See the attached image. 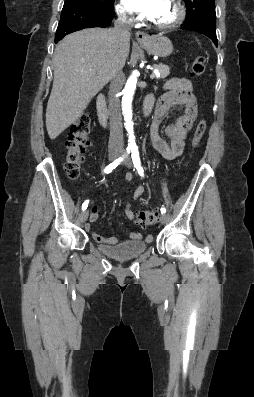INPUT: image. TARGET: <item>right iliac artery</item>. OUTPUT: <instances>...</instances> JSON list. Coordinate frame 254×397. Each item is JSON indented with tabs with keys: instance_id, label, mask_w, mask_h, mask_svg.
Segmentation results:
<instances>
[{
	"instance_id": "obj_1",
	"label": "right iliac artery",
	"mask_w": 254,
	"mask_h": 397,
	"mask_svg": "<svg viewBox=\"0 0 254 397\" xmlns=\"http://www.w3.org/2000/svg\"><path fill=\"white\" fill-rule=\"evenodd\" d=\"M129 152H130V148H127L125 154H124L122 157L116 159L113 163L109 164V165L104 169V173L108 174V173H110L113 169H115V168L122 162V160L127 156V154H128ZM88 203H89V200H86V201L82 204V210H83V211L87 208Z\"/></svg>"
}]
</instances>
